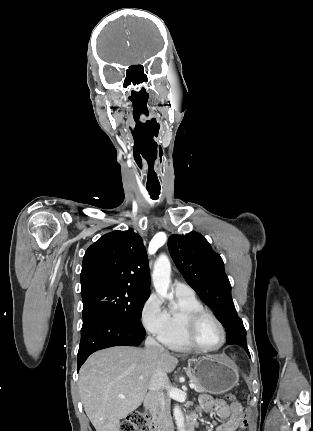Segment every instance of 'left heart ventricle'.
I'll use <instances>...</instances> for the list:
<instances>
[{
	"mask_svg": "<svg viewBox=\"0 0 313 431\" xmlns=\"http://www.w3.org/2000/svg\"><path fill=\"white\" fill-rule=\"evenodd\" d=\"M195 336L197 341L205 347H215L221 340V332L218 325L209 317L201 320Z\"/></svg>",
	"mask_w": 313,
	"mask_h": 431,
	"instance_id": "b2bd125f",
	"label": "left heart ventricle"
}]
</instances>
